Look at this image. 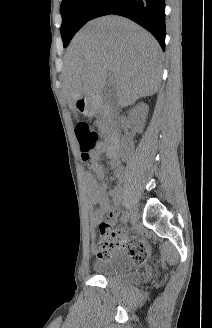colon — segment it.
Listing matches in <instances>:
<instances>
[{"instance_id": "5ec220e1", "label": "colon", "mask_w": 212, "mask_h": 328, "mask_svg": "<svg viewBox=\"0 0 212 328\" xmlns=\"http://www.w3.org/2000/svg\"><path fill=\"white\" fill-rule=\"evenodd\" d=\"M75 135L79 144L83 161H89L93 157L97 148V133L90 128L89 124L81 121L78 122L75 126ZM118 239V232H114L109 224L102 223L100 225V240L97 245L98 256L101 259L110 258L117 246ZM146 256V251H143L137 262L144 261Z\"/></svg>"}]
</instances>
